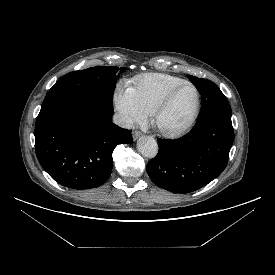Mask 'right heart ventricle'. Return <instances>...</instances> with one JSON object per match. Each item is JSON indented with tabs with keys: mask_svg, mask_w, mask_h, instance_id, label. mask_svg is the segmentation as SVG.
I'll return each mask as SVG.
<instances>
[{
	"mask_svg": "<svg viewBox=\"0 0 275 275\" xmlns=\"http://www.w3.org/2000/svg\"><path fill=\"white\" fill-rule=\"evenodd\" d=\"M182 81L179 77L164 73H148L135 78L134 89L140 104L149 114L162 96Z\"/></svg>",
	"mask_w": 275,
	"mask_h": 275,
	"instance_id": "obj_1",
	"label": "right heart ventricle"
}]
</instances>
